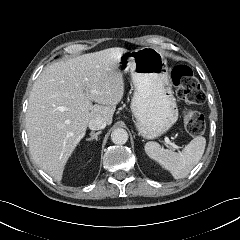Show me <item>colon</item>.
I'll return each mask as SVG.
<instances>
[{
  "label": "colon",
  "mask_w": 240,
  "mask_h": 240,
  "mask_svg": "<svg viewBox=\"0 0 240 240\" xmlns=\"http://www.w3.org/2000/svg\"><path fill=\"white\" fill-rule=\"evenodd\" d=\"M177 88V96L191 105L201 104L205 100L203 88L192 69L186 65L175 66L170 74ZM186 131L192 135H200L205 128L204 116L194 110H187L183 116Z\"/></svg>",
  "instance_id": "5ec220e1"
}]
</instances>
